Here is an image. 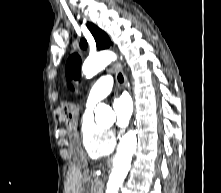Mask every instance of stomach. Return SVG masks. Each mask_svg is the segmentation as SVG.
Listing matches in <instances>:
<instances>
[{
	"label": "stomach",
	"instance_id": "1",
	"mask_svg": "<svg viewBox=\"0 0 221 193\" xmlns=\"http://www.w3.org/2000/svg\"><path fill=\"white\" fill-rule=\"evenodd\" d=\"M61 114L63 115L64 123H78L79 107H76L74 98H63L60 102ZM69 152L72 155L70 159V167H87V154H83L82 147H79V142H72V147H69ZM93 189L88 179L84 180L79 193H92Z\"/></svg>",
	"mask_w": 221,
	"mask_h": 193
}]
</instances>
